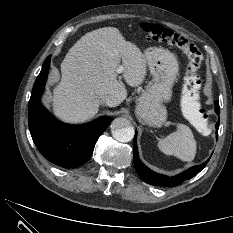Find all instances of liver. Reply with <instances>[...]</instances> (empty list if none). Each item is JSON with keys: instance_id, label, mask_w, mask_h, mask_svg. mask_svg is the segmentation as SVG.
<instances>
[{"instance_id": "obj_1", "label": "liver", "mask_w": 233, "mask_h": 233, "mask_svg": "<svg viewBox=\"0 0 233 233\" xmlns=\"http://www.w3.org/2000/svg\"><path fill=\"white\" fill-rule=\"evenodd\" d=\"M131 87L141 85L146 76V58L132 42L126 41L115 27L86 33L68 51L61 63V79L53 89V112L60 120L82 123L93 118L109 95L113 106L127 97V90L117 80V68Z\"/></svg>"}]
</instances>
